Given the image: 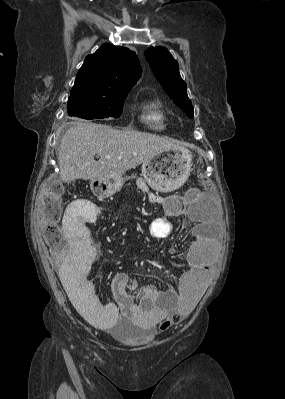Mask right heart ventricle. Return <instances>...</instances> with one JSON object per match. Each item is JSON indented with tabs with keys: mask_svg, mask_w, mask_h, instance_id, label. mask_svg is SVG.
Listing matches in <instances>:
<instances>
[{
	"mask_svg": "<svg viewBox=\"0 0 285 399\" xmlns=\"http://www.w3.org/2000/svg\"><path fill=\"white\" fill-rule=\"evenodd\" d=\"M141 118L144 123L154 129H163L165 122V114L162 104L155 99H148L140 104Z\"/></svg>",
	"mask_w": 285,
	"mask_h": 399,
	"instance_id": "right-heart-ventricle-1",
	"label": "right heart ventricle"
}]
</instances>
